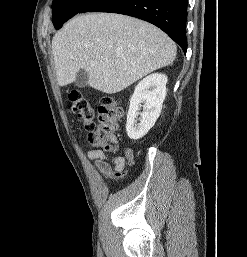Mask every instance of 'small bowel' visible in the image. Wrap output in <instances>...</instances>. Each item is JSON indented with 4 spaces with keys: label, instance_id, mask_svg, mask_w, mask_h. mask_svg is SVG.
Listing matches in <instances>:
<instances>
[{
    "label": "small bowel",
    "instance_id": "1",
    "mask_svg": "<svg viewBox=\"0 0 247 257\" xmlns=\"http://www.w3.org/2000/svg\"><path fill=\"white\" fill-rule=\"evenodd\" d=\"M115 141L117 142L116 138ZM87 156L104 177L119 180L124 176L126 163L131 158V151L127 150L125 156L110 158L103 150L91 148L87 151Z\"/></svg>",
    "mask_w": 247,
    "mask_h": 257
}]
</instances>
